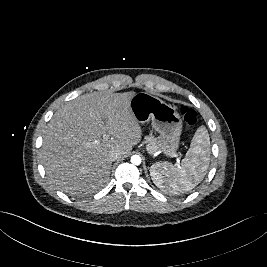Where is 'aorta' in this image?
Listing matches in <instances>:
<instances>
[{
  "label": "aorta",
  "instance_id": "obj_1",
  "mask_svg": "<svg viewBox=\"0 0 267 267\" xmlns=\"http://www.w3.org/2000/svg\"><path fill=\"white\" fill-rule=\"evenodd\" d=\"M131 163L134 165H140L141 164V157L139 155H133L131 157Z\"/></svg>",
  "mask_w": 267,
  "mask_h": 267
}]
</instances>
